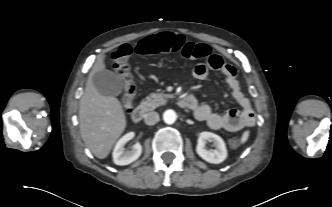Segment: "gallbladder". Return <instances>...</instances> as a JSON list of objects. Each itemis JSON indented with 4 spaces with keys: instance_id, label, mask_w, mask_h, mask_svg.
<instances>
[{
    "instance_id": "obj_1",
    "label": "gallbladder",
    "mask_w": 332,
    "mask_h": 207,
    "mask_svg": "<svg viewBox=\"0 0 332 207\" xmlns=\"http://www.w3.org/2000/svg\"><path fill=\"white\" fill-rule=\"evenodd\" d=\"M97 91L105 96H118L121 94L123 84L117 74L109 70H100L92 77Z\"/></svg>"
}]
</instances>
